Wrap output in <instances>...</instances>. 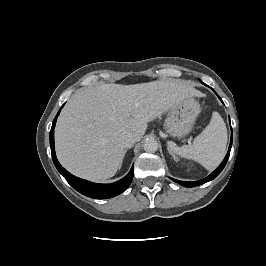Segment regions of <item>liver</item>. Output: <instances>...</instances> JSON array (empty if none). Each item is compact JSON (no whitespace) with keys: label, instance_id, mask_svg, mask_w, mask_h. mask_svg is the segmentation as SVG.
Masks as SVG:
<instances>
[{"label":"liver","instance_id":"1","mask_svg":"<svg viewBox=\"0 0 266 266\" xmlns=\"http://www.w3.org/2000/svg\"><path fill=\"white\" fill-rule=\"evenodd\" d=\"M193 96L199 92L178 79L80 89L71 96L56 124L58 160L75 176L104 181L121 167L126 153L124 135L132 134L139 141L148 122Z\"/></svg>","mask_w":266,"mask_h":266}]
</instances>
